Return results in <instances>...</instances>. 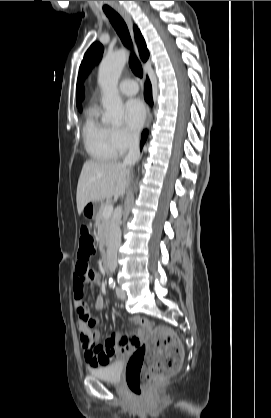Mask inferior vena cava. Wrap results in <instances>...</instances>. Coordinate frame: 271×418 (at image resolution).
<instances>
[{
  "label": "inferior vena cava",
  "instance_id": "inferior-vena-cava-1",
  "mask_svg": "<svg viewBox=\"0 0 271 418\" xmlns=\"http://www.w3.org/2000/svg\"><path fill=\"white\" fill-rule=\"evenodd\" d=\"M140 158L139 133H133L129 139V152L123 160V165L131 168ZM121 216L122 207L116 209V214L110 228L108 239L107 256L109 259L108 267L110 272H114L117 266V252L121 244Z\"/></svg>",
  "mask_w": 271,
  "mask_h": 418
}]
</instances>
